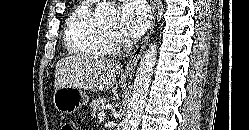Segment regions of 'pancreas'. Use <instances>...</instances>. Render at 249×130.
<instances>
[{"label": "pancreas", "mask_w": 249, "mask_h": 130, "mask_svg": "<svg viewBox=\"0 0 249 130\" xmlns=\"http://www.w3.org/2000/svg\"><path fill=\"white\" fill-rule=\"evenodd\" d=\"M105 103H106L105 98H98L93 100V102L90 104V107L92 108L93 117H96L97 114L104 112Z\"/></svg>", "instance_id": "1"}]
</instances>
